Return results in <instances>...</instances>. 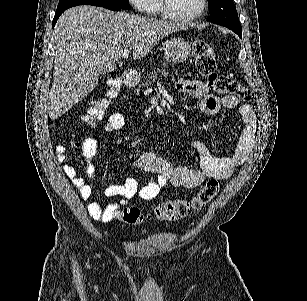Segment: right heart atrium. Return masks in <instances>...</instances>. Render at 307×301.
Wrapping results in <instances>:
<instances>
[{"mask_svg": "<svg viewBox=\"0 0 307 301\" xmlns=\"http://www.w3.org/2000/svg\"><path fill=\"white\" fill-rule=\"evenodd\" d=\"M134 7L137 11H153L154 6L150 4L149 0H132Z\"/></svg>", "mask_w": 307, "mask_h": 301, "instance_id": "right-heart-atrium-1", "label": "right heart atrium"}]
</instances>
